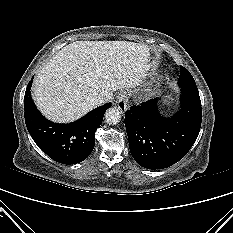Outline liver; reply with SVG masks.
Listing matches in <instances>:
<instances>
[{"instance_id":"1","label":"liver","mask_w":233,"mask_h":233,"mask_svg":"<svg viewBox=\"0 0 233 233\" xmlns=\"http://www.w3.org/2000/svg\"><path fill=\"white\" fill-rule=\"evenodd\" d=\"M149 47L128 41H76L42 68L33 99L48 119L72 122L95 108L93 98L133 88L145 76Z\"/></svg>"}]
</instances>
